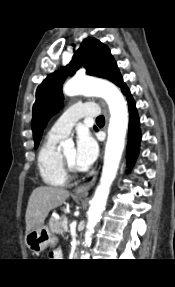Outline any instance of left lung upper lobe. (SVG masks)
<instances>
[{
    "label": "left lung upper lobe",
    "mask_w": 175,
    "mask_h": 287,
    "mask_svg": "<svg viewBox=\"0 0 175 287\" xmlns=\"http://www.w3.org/2000/svg\"><path fill=\"white\" fill-rule=\"evenodd\" d=\"M82 66L86 67L88 75L108 79L121 90L126 87L109 48L95 38H86L71 62L61 70L50 74L37 88L32 119L35 148L38 147L43 129L51 116L62 108L64 99L62 85L66 76L74 75Z\"/></svg>",
    "instance_id": "obj_1"
}]
</instances>
